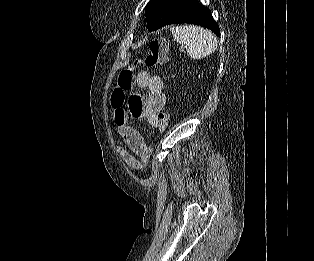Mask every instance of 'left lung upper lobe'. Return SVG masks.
Wrapping results in <instances>:
<instances>
[{"mask_svg":"<svg viewBox=\"0 0 314 261\" xmlns=\"http://www.w3.org/2000/svg\"><path fill=\"white\" fill-rule=\"evenodd\" d=\"M184 0H150L145 7L149 32L167 24L176 14Z\"/></svg>","mask_w":314,"mask_h":261,"instance_id":"5c2ea615","label":"left lung upper lobe"}]
</instances>
